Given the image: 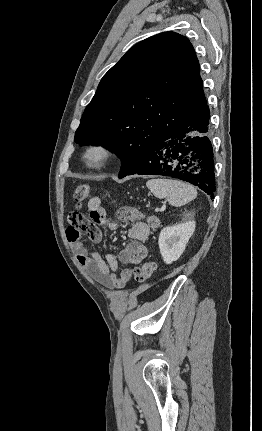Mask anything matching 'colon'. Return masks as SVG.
<instances>
[{"mask_svg": "<svg viewBox=\"0 0 262 431\" xmlns=\"http://www.w3.org/2000/svg\"><path fill=\"white\" fill-rule=\"evenodd\" d=\"M91 195V188L87 183H81L74 189V200L79 206H82ZM78 212H73L69 215V222L71 224H77L80 219ZM156 271V264L153 261H145L139 264L134 271V279L136 282L143 283L150 279Z\"/></svg>", "mask_w": 262, "mask_h": 431, "instance_id": "colon-1", "label": "colon"}]
</instances>
